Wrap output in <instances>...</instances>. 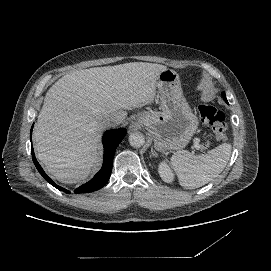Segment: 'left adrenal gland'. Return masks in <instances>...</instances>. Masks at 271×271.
<instances>
[{"instance_id": "left-adrenal-gland-1", "label": "left adrenal gland", "mask_w": 271, "mask_h": 271, "mask_svg": "<svg viewBox=\"0 0 271 271\" xmlns=\"http://www.w3.org/2000/svg\"><path fill=\"white\" fill-rule=\"evenodd\" d=\"M151 156H157V153H155V152L151 153Z\"/></svg>"}]
</instances>
